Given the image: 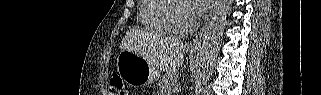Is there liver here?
<instances>
[{
  "label": "liver",
  "mask_w": 321,
  "mask_h": 95,
  "mask_svg": "<svg viewBox=\"0 0 321 95\" xmlns=\"http://www.w3.org/2000/svg\"><path fill=\"white\" fill-rule=\"evenodd\" d=\"M149 34L138 29H130L121 41L120 48L135 53H144V58L161 71L175 72L184 61L187 44L175 38H157L154 46L146 50Z\"/></svg>",
  "instance_id": "1"
}]
</instances>
